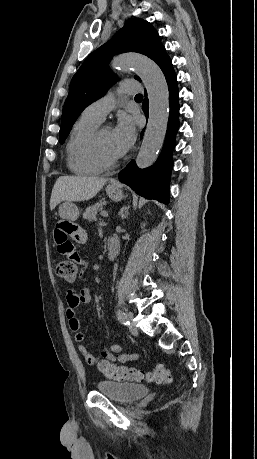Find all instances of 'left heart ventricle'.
I'll list each match as a JSON object with an SVG mask.
<instances>
[{
    "label": "left heart ventricle",
    "instance_id": "1",
    "mask_svg": "<svg viewBox=\"0 0 257 459\" xmlns=\"http://www.w3.org/2000/svg\"><path fill=\"white\" fill-rule=\"evenodd\" d=\"M100 144L103 153L108 158H117L119 157L115 151L112 130L110 128H104L100 135Z\"/></svg>",
    "mask_w": 257,
    "mask_h": 459
}]
</instances>
